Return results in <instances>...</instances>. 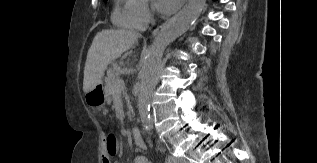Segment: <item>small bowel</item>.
<instances>
[{
    "instance_id": "c3829d8e",
    "label": "small bowel",
    "mask_w": 317,
    "mask_h": 163,
    "mask_svg": "<svg viewBox=\"0 0 317 163\" xmlns=\"http://www.w3.org/2000/svg\"><path fill=\"white\" fill-rule=\"evenodd\" d=\"M101 163H110V159L107 154H102ZM133 163H152L146 156L139 155L134 158Z\"/></svg>"
}]
</instances>
